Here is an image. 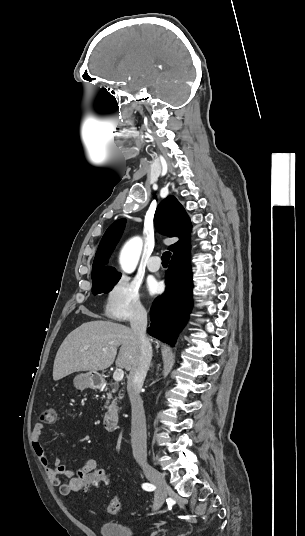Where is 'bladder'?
<instances>
[{"mask_svg": "<svg viewBox=\"0 0 305 536\" xmlns=\"http://www.w3.org/2000/svg\"><path fill=\"white\" fill-rule=\"evenodd\" d=\"M98 529L101 536H148L137 534L134 530L135 527L127 523L100 521Z\"/></svg>", "mask_w": 305, "mask_h": 536, "instance_id": "bladder-1", "label": "bladder"}]
</instances>
